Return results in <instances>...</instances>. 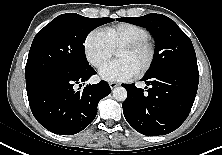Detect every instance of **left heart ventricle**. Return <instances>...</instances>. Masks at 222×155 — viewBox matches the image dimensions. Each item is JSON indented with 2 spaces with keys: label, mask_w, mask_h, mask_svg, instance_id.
Here are the masks:
<instances>
[{
  "label": "left heart ventricle",
  "mask_w": 222,
  "mask_h": 155,
  "mask_svg": "<svg viewBox=\"0 0 222 155\" xmlns=\"http://www.w3.org/2000/svg\"><path fill=\"white\" fill-rule=\"evenodd\" d=\"M116 58L125 61L136 73L146 63L148 50L142 48L137 51H118L116 52Z\"/></svg>",
  "instance_id": "1"
}]
</instances>
